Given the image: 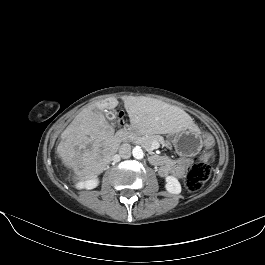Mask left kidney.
Listing matches in <instances>:
<instances>
[{
    "mask_svg": "<svg viewBox=\"0 0 265 265\" xmlns=\"http://www.w3.org/2000/svg\"><path fill=\"white\" fill-rule=\"evenodd\" d=\"M166 180V185L165 188L166 190L171 193V194H179L181 193V185L178 179L174 176H167L165 178Z\"/></svg>",
    "mask_w": 265,
    "mask_h": 265,
    "instance_id": "left-kidney-1",
    "label": "left kidney"
}]
</instances>
